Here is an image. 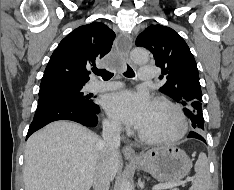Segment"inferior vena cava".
Returning a JSON list of instances; mask_svg holds the SVG:
<instances>
[{
    "mask_svg": "<svg viewBox=\"0 0 234 190\" xmlns=\"http://www.w3.org/2000/svg\"><path fill=\"white\" fill-rule=\"evenodd\" d=\"M120 131L121 127L119 123H103V141L99 144L101 154L93 179L94 190H109L111 181L109 159L111 156L119 153Z\"/></svg>",
    "mask_w": 234,
    "mask_h": 190,
    "instance_id": "602c4592",
    "label": "inferior vena cava"
}]
</instances>
